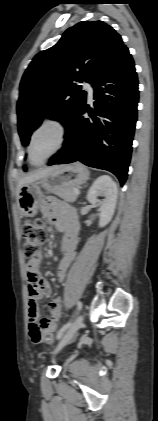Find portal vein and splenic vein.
<instances>
[{
    "label": "portal vein and splenic vein",
    "mask_w": 158,
    "mask_h": 421,
    "mask_svg": "<svg viewBox=\"0 0 158 421\" xmlns=\"http://www.w3.org/2000/svg\"><path fill=\"white\" fill-rule=\"evenodd\" d=\"M79 190L78 189H74V194L79 195Z\"/></svg>",
    "instance_id": "portal-vein-and-splenic-vein-1"
}]
</instances>
